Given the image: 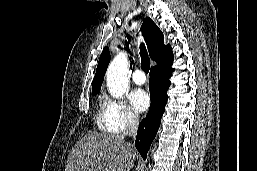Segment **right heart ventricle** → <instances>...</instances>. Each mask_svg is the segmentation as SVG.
<instances>
[{"label":"right heart ventricle","mask_w":257,"mask_h":171,"mask_svg":"<svg viewBox=\"0 0 257 171\" xmlns=\"http://www.w3.org/2000/svg\"><path fill=\"white\" fill-rule=\"evenodd\" d=\"M97 126H98V129L102 132H107V133H112L114 132L108 122L106 121L105 119V116L103 114V111L101 110L98 115H97Z\"/></svg>","instance_id":"right-heart-ventricle-1"}]
</instances>
